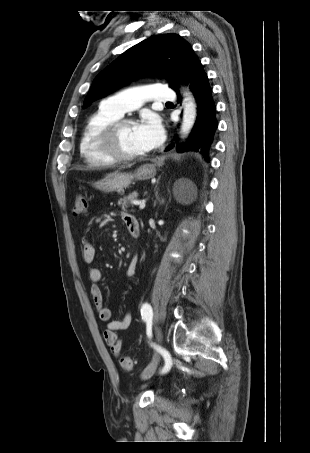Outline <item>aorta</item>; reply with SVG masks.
I'll list each match as a JSON object with an SVG mask.
<instances>
[{"instance_id":"aorta-1","label":"aorta","mask_w":310,"mask_h":453,"mask_svg":"<svg viewBox=\"0 0 310 453\" xmlns=\"http://www.w3.org/2000/svg\"><path fill=\"white\" fill-rule=\"evenodd\" d=\"M184 109L183 118L181 123V134L183 137L187 136L194 126L197 110L194 97L187 92H184Z\"/></svg>"}]
</instances>
